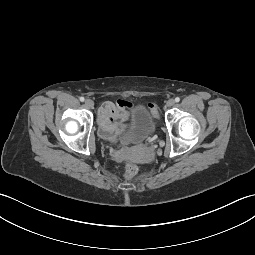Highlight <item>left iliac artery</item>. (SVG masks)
Instances as JSON below:
<instances>
[{
  "instance_id": "44dca946",
  "label": "left iliac artery",
  "mask_w": 255,
  "mask_h": 255,
  "mask_svg": "<svg viewBox=\"0 0 255 255\" xmlns=\"http://www.w3.org/2000/svg\"><path fill=\"white\" fill-rule=\"evenodd\" d=\"M180 101V98L179 97H176L175 98V102H179Z\"/></svg>"
}]
</instances>
